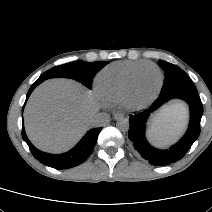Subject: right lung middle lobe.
Instances as JSON below:
<instances>
[{"label": "right lung middle lobe", "instance_id": "obj_1", "mask_svg": "<svg viewBox=\"0 0 212 212\" xmlns=\"http://www.w3.org/2000/svg\"><path fill=\"white\" fill-rule=\"evenodd\" d=\"M105 65L106 61L85 62L74 61L67 64L59 65L46 71L40 77L44 79L50 78H69L79 81L89 89L92 88V80L97 72Z\"/></svg>", "mask_w": 212, "mask_h": 212}]
</instances>
